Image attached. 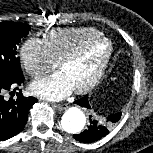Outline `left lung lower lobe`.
Instances as JSON below:
<instances>
[{"mask_svg":"<svg viewBox=\"0 0 153 153\" xmlns=\"http://www.w3.org/2000/svg\"><path fill=\"white\" fill-rule=\"evenodd\" d=\"M74 103L90 109V105L88 102V96L85 95L81 99L75 101ZM122 112H117L110 117L107 118L106 122H100L92 116H90V124L86 130L81 132L80 134H74L73 138L77 141L90 143L101 139L109 133V129L111 128V124H115L119 121Z\"/></svg>","mask_w":153,"mask_h":153,"instance_id":"0a47b994","label":"left lung lower lobe"}]
</instances>
